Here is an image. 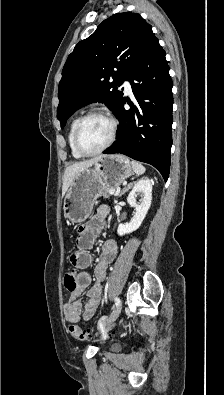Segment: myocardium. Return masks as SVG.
I'll return each mask as SVG.
<instances>
[{"label":"myocardium","mask_w":224,"mask_h":395,"mask_svg":"<svg viewBox=\"0 0 224 395\" xmlns=\"http://www.w3.org/2000/svg\"><path fill=\"white\" fill-rule=\"evenodd\" d=\"M93 116H99V117L106 119L110 123L111 133H110L109 139L103 146H101L99 149H97L95 151L88 152V151H85L82 149L80 142H79V134H80V129H81L83 122ZM117 132H118V122H117L116 118L111 113H109L108 111L103 110V109L90 110L87 113H85L84 115H82L77 120L75 130H74V137H73L74 147H75L76 151L82 157H89V156H94V155L100 154L114 143L116 136H117Z\"/></svg>","instance_id":"1"}]
</instances>
